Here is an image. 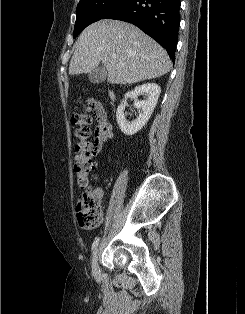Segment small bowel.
Wrapping results in <instances>:
<instances>
[{
	"instance_id": "small-bowel-1",
	"label": "small bowel",
	"mask_w": 245,
	"mask_h": 314,
	"mask_svg": "<svg viewBox=\"0 0 245 314\" xmlns=\"http://www.w3.org/2000/svg\"><path fill=\"white\" fill-rule=\"evenodd\" d=\"M92 110L97 119L93 148V154L97 155L104 145L113 137V127L108 120V115L103 105L99 101L92 100Z\"/></svg>"
}]
</instances>
